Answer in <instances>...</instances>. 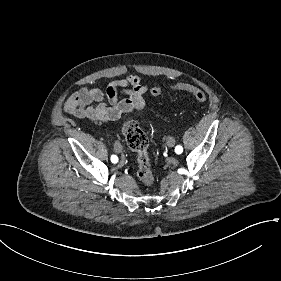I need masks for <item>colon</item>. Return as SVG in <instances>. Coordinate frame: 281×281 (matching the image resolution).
I'll list each match as a JSON object with an SVG mask.
<instances>
[{
  "label": "colon",
  "mask_w": 281,
  "mask_h": 281,
  "mask_svg": "<svg viewBox=\"0 0 281 281\" xmlns=\"http://www.w3.org/2000/svg\"><path fill=\"white\" fill-rule=\"evenodd\" d=\"M180 89L190 92L193 98L198 102L204 103L207 101L206 93L201 90H197L196 86L181 83ZM150 92L153 95H158L161 93V90L159 88H152ZM122 131L129 146L137 156V177L146 186L151 187L154 177L148 150L147 135L139 128L138 124L135 121L129 120L123 124Z\"/></svg>",
  "instance_id": "colon-1"
}]
</instances>
